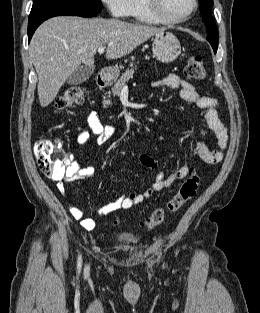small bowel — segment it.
Wrapping results in <instances>:
<instances>
[{"instance_id":"small-bowel-1","label":"small bowel","mask_w":260,"mask_h":313,"mask_svg":"<svg viewBox=\"0 0 260 313\" xmlns=\"http://www.w3.org/2000/svg\"><path fill=\"white\" fill-rule=\"evenodd\" d=\"M155 85H164L178 90L183 100L196 105L204 111L205 124L214 132L217 138L218 149L210 150L205 143L198 141L194 146V154L209 164L220 162L223 156V150L227 144L228 132L220 117L218 100L213 97L199 95L195 91V87L192 83L180 78L176 74L165 76L157 81ZM84 124V128L77 136V143L79 145H85L88 142L90 131L93 133L98 143H105L115 133V127L111 124H103L96 111H91L87 114ZM205 134L206 131L202 128L199 136L203 137ZM138 160L142 166L148 169H155L157 166L156 160L147 153L139 154ZM69 161L70 164L65 174V180L57 183V189L64 197H67L66 182L89 179L95 174L94 167H83L74 159L73 155L69 156ZM189 171L190 167L183 165L168 176H165L162 172H157L152 185L143 193H131L130 195L122 196L115 201L104 204L99 208L98 214L106 215L119 209H128L134 205L140 204L145 199L150 198L155 192H160L173 185L177 180L185 178ZM68 208L71 216L79 221L83 228L93 230L96 227L95 220L86 218L84 212L70 200H68Z\"/></svg>"}]
</instances>
